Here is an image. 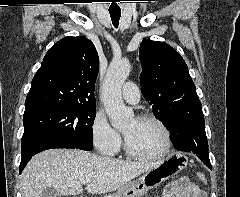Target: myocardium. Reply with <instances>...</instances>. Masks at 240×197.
I'll use <instances>...</instances> for the list:
<instances>
[{
	"label": "myocardium",
	"instance_id": "1",
	"mask_svg": "<svg viewBox=\"0 0 240 197\" xmlns=\"http://www.w3.org/2000/svg\"><path fill=\"white\" fill-rule=\"evenodd\" d=\"M136 119L140 120V121H152V122L156 123L162 129V131L164 133L165 145H164V148L157 154L143 155V154H139V153L135 152L131 148V146L129 145V143L127 141V138L124 135V151H125L126 155L133 159L141 160V161H155V160H159V159L165 157L169 153V151L172 147L171 132H170L168 126L166 125V123L159 117L152 115V114H141Z\"/></svg>",
	"mask_w": 240,
	"mask_h": 197
}]
</instances>
